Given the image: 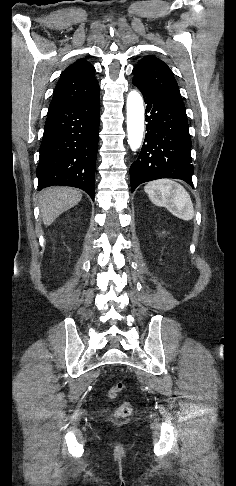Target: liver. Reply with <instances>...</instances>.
I'll return each mask as SVG.
<instances>
[{"label": "liver", "mask_w": 236, "mask_h": 486, "mask_svg": "<svg viewBox=\"0 0 236 486\" xmlns=\"http://www.w3.org/2000/svg\"><path fill=\"white\" fill-rule=\"evenodd\" d=\"M81 198L80 191L69 187L43 190L39 195V207L44 225H51L59 215L77 205Z\"/></svg>", "instance_id": "6515ba94"}]
</instances>
